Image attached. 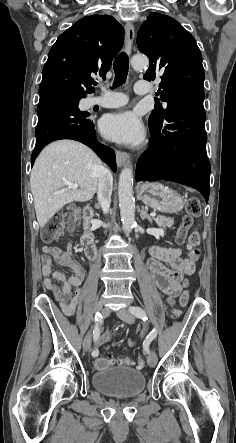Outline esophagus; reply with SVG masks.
I'll list each match as a JSON object with an SVG mask.
<instances>
[{
    "mask_svg": "<svg viewBox=\"0 0 236 443\" xmlns=\"http://www.w3.org/2000/svg\"><path fill=\"white\" fill-rule=\"evenodd\" d=\"M125 32H126V53L129 55L132 50L133 41L135 38V30L134 26L131 22H127L125 24ZM129 161V154L124 151L118 150L116 152V162L118 167L123 166L126 162Z\"/></svg>",
    "mask_w": 236,
    "mask_h": 443,
    "instance_id": "obj_1",
    "label": "esophagus"
}]
</instances>
